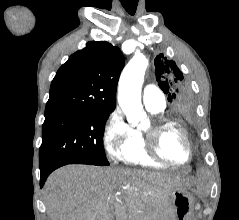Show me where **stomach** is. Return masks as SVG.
Instances as JSON below:
<instances>
[{
	"instance_id": "obj_1",
	"label": "stomach",
	"mask_w": 239,
	"mask_h": 220,
	"mask_svg": "<svg viewBox=\"0 0 239 220\" xmlns=\"http://www.w3.org/2000/svg\"><path fill=\"white\" fill-rule=\"evenodd\" d=\"M169 200L175 220H188L193 211L192 196L184 189H177L171 191Z\"/></svg>"
}]
</instances>
